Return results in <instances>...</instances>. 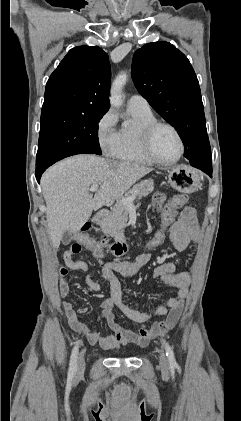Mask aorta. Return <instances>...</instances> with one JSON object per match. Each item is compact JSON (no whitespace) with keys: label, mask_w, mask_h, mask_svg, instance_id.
Here are the masks:
<instances>
[{"label":"aorta","mask_w":241,"mask_h":421,"mask_svg":"<svg viewBox=\"0 0 241 421\" xmlns=\"http://www.w3.org/2000/svg\"><path fill=\"white\" fill-rule=\"evenodd\" d=\"M127 81V74L126 73H121L119 74L112 86H111V91H110V103L113 106H119L122 104V96H121V92H122V88L125 85Z\"/></svg>","instance_id":"1"}]
</instances>
